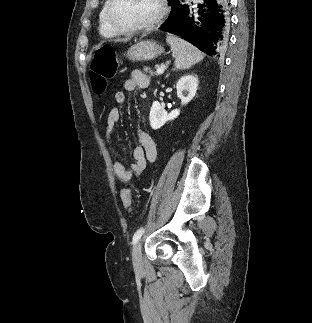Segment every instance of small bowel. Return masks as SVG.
I'll list each match as a JSON object with an SVG mask.
<instances>
[{
  "mask_svg": "<svg viewBox=\"0 0 312 323\" xmlns=\"http://www.w3.org/2000/svg\"><path fill=\"white\" fill-rule=\"evenodd\" d=\"M150 83L149 77L140 70H134L124 84L125 91L131 92L137 88H146ZM118 90L114 93L115 103L122 105L126 102V92ZM122 113L118 108H113L107 117L105 136L108 144L114 142V135L117 123L120 121ZM139 145L133 148L132 156L134 162L130 169H127L116 159L112 160L114 175L122 182H129L133 175H140L146 169L148 162H155L157 149L155 142L149 134L143 130L138 131Z\"/></svg>",
  "mask_w": 312,
  "mask_h": 323,
  "instance_id": "1",
  "label": "small bowel"
}]
</instances>
